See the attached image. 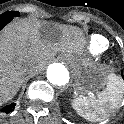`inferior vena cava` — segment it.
<instances>
[{
	"instance_id": "602c4592",
	"label": "inferior vena cava",
	"mask_w": 124,
	"mask_h": 124,
	"mask_svg": "<svg viewBox=\"0 0 124 124\" xmlns=\"http://www.w3.org/2000/svg\"><path fill=\"white\" fill-rule=\"evenodd\" d=\"M29 69L32 71V72H36L38 70V64L36 62H31L29 64Z\"/></svg>"
}]
</instances>
